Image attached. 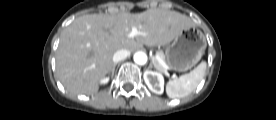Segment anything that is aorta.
<instances>
[{
    "mask_svg": "<svg viewBox=\"0 0 276 120\" xmlns=\"http://www.w3.org/2000/svg\"><path fill=\"white\" fill-rule=\"evenodd\" d=\"M134 62L138 65H145L147 62V55L142 51H138L134 54Z\"/></svg>",
    "mask_w": 276,
    "mask_h": 120,
    "instance_id": "aorta-1",
    "label": "aorta"
}]
</instances>
